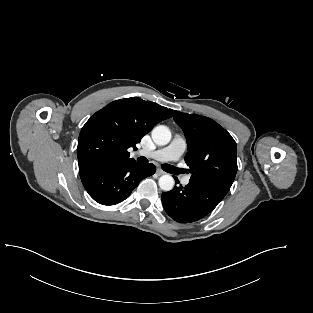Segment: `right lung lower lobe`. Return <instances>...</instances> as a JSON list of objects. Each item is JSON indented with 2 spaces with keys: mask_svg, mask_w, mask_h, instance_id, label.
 I'll list each match as a JSON object with an SVG mask.
<instances>
[{
  "mask_svg": "<svg viewBox=\"0 0 313 313\" xmlns=\"http://www.w3.org/2000/svg\"><path fill=\"white\" fill-rule=\"evenodd\" d=\"M152 164L137 163L100 167L80 172L89 195L102 205H115L130 196L139 182L155 173Z\"/></svg>",
  "mask_w": 313,
  "mask_h": 313,
  "instance_id": "1",
  "label": "right lung lower lobe"
}]
</instances>
